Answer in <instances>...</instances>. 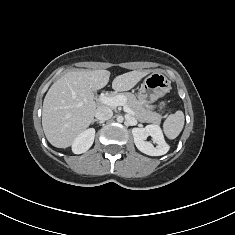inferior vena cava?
Returning a JSON list of instances; mask_svg holds the SVG:
<instances>
[{"instance_id":"inferior-vena-cava-1","label":"inferior vena cava","mask_w":235,"mask_h":235,"mask_svg":"<svg viewBox=\"0 0 235 235\" xmlns=\"http://www.w3.org/2000/svg\"><path fill=\"white\" fill-rule=\"evenodd\" d=\"M113 116V112L109 107L100 106L96 109L95 117L98 120H108Z\"/></svg>"}]
</instances>
